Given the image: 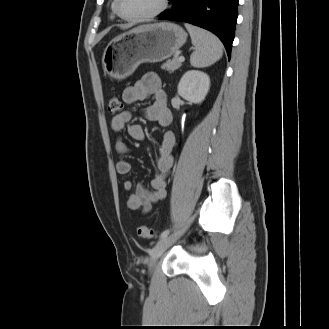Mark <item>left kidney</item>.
<instances>
[{"instance_id":"1","label":"left kidney","mask_w":329,"mask_h":329,"mask_svg":"<svg viewBox=\"0 0 329 329\" xmlns=\"http://www.w3.org/2000/svg\"><path fill=\"white\" fill-rule=\"evenodd\" d=\"M210 87L209 76L197 70L187 71L178 84L179 95L187 101L192 103H201Z\"/></svg>"}]
</instances>
